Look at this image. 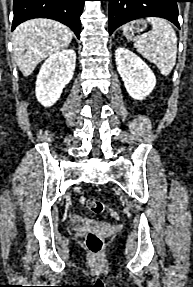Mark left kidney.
Segmentation results:
<instances>
[{
  "label": "left kidney",
  "instance_id": "left-kidney-1",
  "mask_svg": "<svg viewBox=\"0 0 193 287\" xmlns=\"http://www.w3.org/2000/svg\"><path fill=\"white\" fill-rule=\"evenodd\" d=\"M115 61L129 95L136 100L145 99L156 85L152 70L140 57L124 47L115 50Z\"/></svg>",
  "mask_w": 193,
  "mask_h": 287
}]
</instances>
